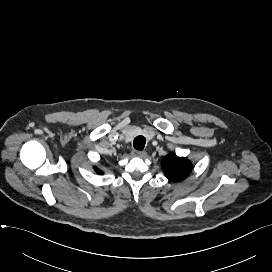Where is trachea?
<instances>
[{"mask_svg": "<svg viewBox=\"0 0 272 272\" xmlns=\"http://www.w3.org/2000/svg\"><path fill=\"white\" fill-rule=\"evenodd\" d=\"M146 144V138L142 135L137 136L134 139L133 146L136 150H143Z\"/></svg>", "mask_w": 272, "mask_h": 272, "instance_id": "1", "label": "trachea"}]
</instances>
